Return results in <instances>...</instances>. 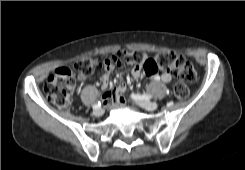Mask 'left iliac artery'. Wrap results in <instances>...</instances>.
Listing matches in <instances>:
<instances>
[{"mask_svg":"<svg viewBox=\"0 0 245 170\" xmlns=\"http://www.w3.org/2000/svg\"><path fill=\"white\" fill-rule=\"evenodd\" d=\"M133 98L138 99V98H139V96H137V95H133Z\"/></svg>","mask_w":245,"mask_h":170,"instance_id":"left-iliac-artery-1","label":"left iliac artery"}]
</instances>
